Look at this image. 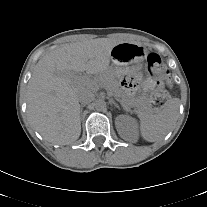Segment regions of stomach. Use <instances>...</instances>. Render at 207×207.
Here are the masks:
<instances>
[{"instance_id": "1", "label": "stomach", "mask_w": 207, "mask_h": 207, "mask_svg": "<svg viewBox=\"0 0 207 207\" xmlns=\"http://www.w3.org/2000/svg\"><path fill=\"white\" fill-rule=\"evenodd\" d=\"M147 55L146 49L136 43H120L111 51V60L116 66H132L134 72H139L143 68V61ZM119 98L125 104L133 102L135 99L126 91L119 93Z\"/></svg>"}]
</instances>
